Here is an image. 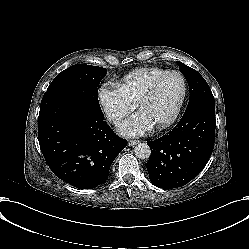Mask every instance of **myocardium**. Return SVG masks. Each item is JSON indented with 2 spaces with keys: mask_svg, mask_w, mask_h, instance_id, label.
Masks as SVG:
<instances>
[{
  "mask_svg": "<svg viewBox=\"0 0 249 249\" xmlns=\"http://www.w3.org/2000/svg\"><path fill=\"white\" fill-rule=\"evenodd\" d=\"M172 78H176L180 84V95L178 98V101L176 103V106L174 108V111L170 118L165 121L164 123L157 126L158 129H164L172 125L181 110V107L183 105L184 97L186 94V84L184 81V77L179 72H168L165 75L161 77V79L154 85V87L149 91V93L142 99V101L138 104V112L140 114H143V109L149 104L150 101H152L158 92L164 87V85L171 80Z\"/></svg>",
  "mask_w": 249,
  "mask_h": 249,
  "instance_id": "f54148a6",
  "label": "myocardium"
}]
</instances>
